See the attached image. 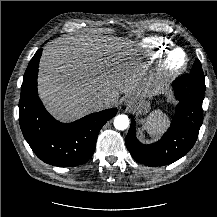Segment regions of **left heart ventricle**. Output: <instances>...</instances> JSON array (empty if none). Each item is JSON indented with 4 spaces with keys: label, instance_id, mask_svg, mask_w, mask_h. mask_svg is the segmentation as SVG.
I'll return each instance as SVG.
<instances>
[{
    "label": "left heart ventricle",
    "instance_id": "obj_1",
    "mask_svg": "<svg viewBox=\"0 0 217 217\" xmlns=\"http://www.w3.org/2000/svg\"><path fill=\"white\" fill-rule=\"evenodd\" d=\"M175 63H181L183 61V55L181 53H176L173 57Z\"/></svg>",
    "mask_w": 217,
    "mask_h": 217
}]
</instances>
